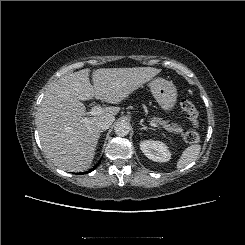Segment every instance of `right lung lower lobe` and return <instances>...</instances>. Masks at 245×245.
Returning a JSON list of instances; mask_svg holds the SVG:
<instances>
[{"label":"right lung lower lobe","instance_id":"98d812e1","mask_svg":"<svg viewBox=\"0 0 245 245\" xmlns=\"http://www.w3.org/2000/svg\"><path fill=\"white\" fill-rule=\"evenodd\" d=\"M98 166V164L94 167V168H92L91 170H89L87 173H89V172H91V171H93L96 167ZM81 174H84V172L83 173H81Z\"/></svg>","mask_w":245,"mask_h":245}]
</instances>
